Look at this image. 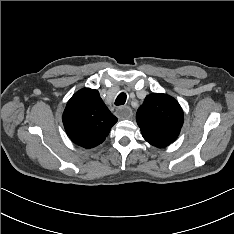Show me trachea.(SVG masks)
Returning <instances> with one entry per match:
<instances>
[{"label": "trachea", "mask_w": 234, "mask_h": 234, "mask_svg": "<svg viewBox=\"0 0 234 234\" xmlns=\"http://www.w3.org/2000/svg\"><path fill=\"white\" fill-rule=\"evenodd\" d=\"M126 98H127V96H126V94L124 92L120 93L118 95V97L116 98V100H115V105L119 106V105L125 104Z\"/></svg>", "instance_id": "1"}]
</instances>
